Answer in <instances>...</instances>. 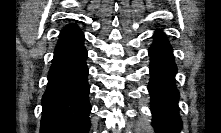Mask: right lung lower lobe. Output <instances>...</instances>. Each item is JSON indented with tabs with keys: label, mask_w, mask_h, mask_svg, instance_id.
<instances>
[{
	"label": "right lung lower lobe",
	"mask_w": 221,
	"mask_h": 133,
	"mask_svg": "<svg viewBox=\"0 0 221 133\" xmlns=\"http://www.w3.org/2000/svg\"><path fill=\"white\" fill-rule=\"evenodd\" d=\"M84 35L59 40L42 97L40 133H88L91 106Z\"/></svg>",
	"instance_id": "right-lung-lower-lobe-1"
}]
</instances>
